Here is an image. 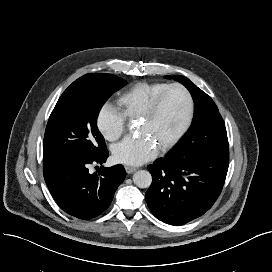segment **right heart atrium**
<instances>
[{
    "instance_id": "1",
    "label": "right heart atrium",
    "mask_w": 272,
    "mask_h": 272,
    "mask_svg": "<svg viewBox=\"0 0 272 272\" xmlns=\"http://www.w3.org/2000/svg\"><path fill=\"white\" fill-rule=\"evenodd\" d=\"M95 126L105 140L113 142L123 135L126 128V118L111 103L105 102L96 113Z\"/></svg>"
}]
</instances>
